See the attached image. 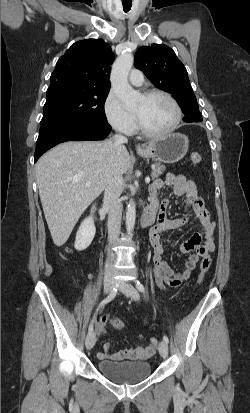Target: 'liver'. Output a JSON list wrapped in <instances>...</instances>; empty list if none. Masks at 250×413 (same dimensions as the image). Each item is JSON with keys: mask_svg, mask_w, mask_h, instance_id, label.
Here are the masks:
<instances>
[{"mask_svg": "<svg viewBox=\"0 0 250 413\" xmlns=\"http://www.w3.org/2000/svg\"><path fill=\"white\" fill-rule=\"evenodd\" d=\"M129 167L126 147L116 145L114 140L64 142L38 160L39 195L56 246L65 244L80 216L109 179L122 177ZM87 181L90 186H86Z\"/></svg>", "mask_w": 250, "mask_h": 413, "instance_id": "liver-1", "label": "liver"}]
</instances>
